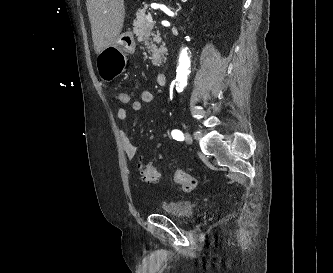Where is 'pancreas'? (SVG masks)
<instances>
[{
  "instance_id": "obj_1",
  "label": "pancreas",
  "mask_w": 333,
  "mask_h": 273,
  "mask_svg": "<svg viewBox=\"0 0 333 273\" xmlns=\"http://www.w3.org/2000/svg\"><path fill=\"white\" fill-rule=\"evenodd\" d=\"M146 10L147 5H144L136 13V19L133 22V33L137 36L138 40L144 42L147 46L148 52L152 54L153 65L161 66L165 60L164 54L167 52V49L164 42H162L159 48L157 47L156 44L161 43L162 38L159 33L155 34L152 31L153 25L146 21ZM150 36L153 38H150Z\"/></svg>"
}]
</instances>
